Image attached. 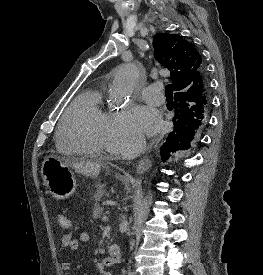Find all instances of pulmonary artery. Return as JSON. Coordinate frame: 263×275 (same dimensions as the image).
Here are the masks:
<instances>
[{
  "label": "pulmonary artery",
  "instance_id": "e3ab8cb5",
  "mask_svg": "<svg viewBox=\"0 0 263 275\" xmlns=\"http://www.w3.org/2000/svg\"><path fill=\"white\" fill-rule=\"evenodd\" d=\"M161 89L162 86L159 83L150 84L141 90L142 98L150 104L161 105L165 102Z\"/></svg>",
  "mask_w": 263,
  "mask_h": 275
}]
</instances>
